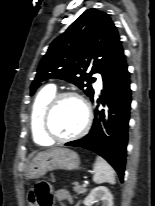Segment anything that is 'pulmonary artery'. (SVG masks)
<instances>
[{
    "instance_id": "pulmonary-artery-1",
    "label": "pulmonary artery",
    "mask_w": 155,
    "mask_h": 206,
    "mask_svg": "<svg viewBox=\"0 0 155 206\" xmlns=\"http://www.w3.org/2000/svg\"><path fill=\"white\" fill-rule=\"evenodd\" d=\"M96 87L100 89L102 87V78L100 75L97 76Z\"/></svg>"
}]
</instances>
